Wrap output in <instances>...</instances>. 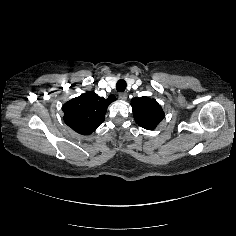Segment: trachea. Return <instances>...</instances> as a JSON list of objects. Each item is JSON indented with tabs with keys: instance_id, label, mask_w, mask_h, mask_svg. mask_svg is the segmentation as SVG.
I'll return each instance as SVG.
<instances>
[{
	"instance_id": "trachea-1",
	"label": "trachea",
	"mask_w": 236,
	"mask_h": 236,
	"mask_svg": "<svg viewBox=\"0 0 236 236\" xmlns=\"http://www.w3.org/2000/svg\"><path fill=\"white\" fill-rule=\"evenodd\" d=\"M126 89V81L124 79H120L116 84V90L118 92H124Z\"/></svg>"
}]
</instances>
